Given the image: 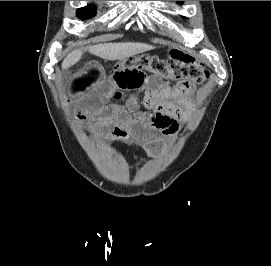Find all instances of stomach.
Returning a JSON list of instances; mask_svg holds the SVG:
<instances>
[{
    "label": "stomach",
    "instance_id": "0dacf381",
    "mask_svg": "<svg viewBox=\"0 0 271 266\" xmlns=\"http://www.w3.org/2000/svg\"><path fill=\"white\" fill-rule=\"evenodd\" d=\"M168 55L170 58H172L173 60L177 62L190 63V64L199 63L198 60L194 56L187 54L186 52L179 49L170 48L168 50Z\"/></svg>",
    "mask_w": 271,
    "mask_h": 266
}]
</instances>
